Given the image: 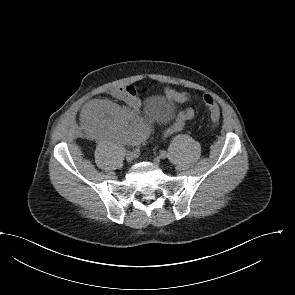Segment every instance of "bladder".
<instances>
[{"instance_id": "1", "label": "bladder", "mask_w": 295, "mask_h": 295, "mask_svg": "<svg viewBox=\"0 0 295 295\" xmlns=\"http://www.w3.org/2000/svg\"><path fill=\"white\" fill-rule=\"evenodd\" d=\"M145 111L160 122L169 121L176 112L172 103L162 99H150L145 105Z\"/></svg>"}]
</instances>
